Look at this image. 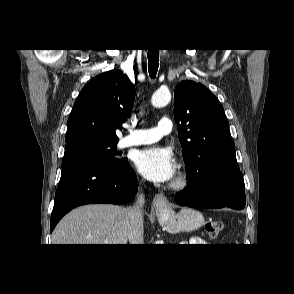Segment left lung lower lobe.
I'll use <instances>...</instances> for the list:
<instances>
[{"mask_svg": "<svg viewBox=\"0 0 294 294\" xmlns=\"http://www.w3.org/2000/svg\"><path fill=\"white\" fill-rule=\"evenodd\" d=\"M175 201L181 206L241 210L245 207V185L240 171L211 172L201 182H189L178 192Z\"/></svg>", "mask_w": 294, "mask_h": 294, "instance_id": "1", "label": "left lung lower lobe"}]
</instances>
